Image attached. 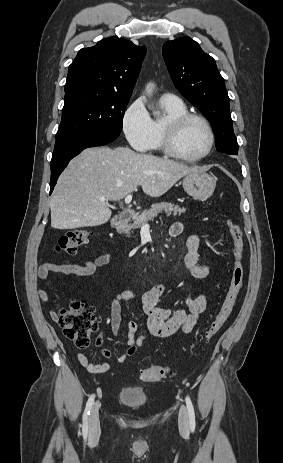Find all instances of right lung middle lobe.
Instances as JSON below:
<instances>
[{
    "instance_id": "obj_1",
    "label": "right lung middle lobe",
    "mask_w": 283,
    "mask_h": 463,
    "mask_svg": "<svg viewBox=\"0 0 283 463\" xmlns=\"http://www.w3.org/2000/svg\"><path fill=\"white\" fill-rule=\"evenodd\" d=\"M128 102L129 98L98 95L89 91L65 97L56 140L88 132L119 136Z\"/></svg>"
}]
</instances>
